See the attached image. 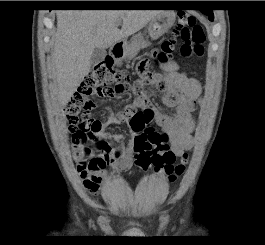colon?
Here are the masks:
<instances>
[{"mask_svg": "<svg viewBox=\"0 0 265 245\" xmlns=\"http://www.w3.org/2000/svg\"><path fill=\"white\" fill-rule=\"evenodd\" d=\"M205 36L195 17L182 12L174 28V37L165 41L155 56L156 63H165L168 56L179 49L183 57L198 56L203 53ZM137 78L133 73L117 71L114 62L107 58L95 65L87 74L84 83L72 96L65 107L73 138L84 146L96 145L108 151H120V146L107 142L99 135V123L90 115L96 99L113 98L126 92L131 86L139 94H145L156 76L150 68V62L142 60L137 67ZM152 116L144 111L136 112L129 120V126L135 133L133 153L135 164L142 170L153 168L164 172L174 181L181 176L188 162V153L181 155V161L175 164L176 155L167 143L168 136L160 133L152 124Z\"/></svg>", "mask_w": 265, "mask_h": 245, "instance_id": "obj_1", "label": "colon"}]
</instances>
